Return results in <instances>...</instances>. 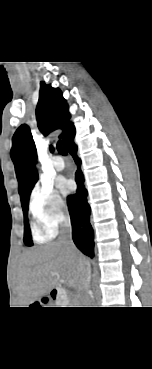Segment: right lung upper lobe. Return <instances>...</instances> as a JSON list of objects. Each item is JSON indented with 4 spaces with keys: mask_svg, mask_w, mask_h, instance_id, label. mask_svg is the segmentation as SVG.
Returning a JSON list of instances; mask_svg holds the SVG:
<instances>
[{
    "mask_svg": "<svg viewBox=\"0 0 152 369\" xmlns=\"http://www.w3.org/2000/svg\"><path fill=\"white\" fill-rule=\"evenodd\" d=\"M70 117L67 102L62 97L60 89H54L42 82L36 109L39 130L47 135L56 129H62L63 132L59 137L68 145L75 136V127L72 123H69ZM50 149L52 150L51 147ZM10 155L15 166L18 192L21 203H23L28 192L38 180V174L34 166L36 163V147L30 128L26 124L21 125L16 130L12 138Z\"/></svg>",
    "mask_w": 152,
    "mask_h": 369,
    "instance_id": "right-lung-upper-lobe-1",
    "label": "right lung upper lobe"
}]
</instances>
